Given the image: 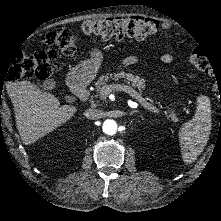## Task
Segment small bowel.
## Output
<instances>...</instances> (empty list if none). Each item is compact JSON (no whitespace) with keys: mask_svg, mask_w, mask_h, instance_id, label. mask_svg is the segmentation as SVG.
<instances>
[{"mask_svg":"<svg viewBox=\"0 0 221 221\" xmlns=\"http://www.w3.org/2000/svg\"><path fill=\"white\" fill-rule=\"evenodd\" d=\"M156 25V24H155ZM167 27L156 25L155 30L149 34H145L141 36V40L147 45H156L162 51V61L164 63L173 64L178 67L179 70H182L178 58L176 54L172 50V45L168 39L167 35ZM149 55H129L120 58V63L123 66H136L140 70H144L148 73H152L149 65H148ZM131 78L132 75H129ZM159 81L165 85H172L176 82L175 79L167 78V77H160Z\"/></svg>","mask_w":221,"mask_h":221,"instance_id":"1","label":"small bowel"}]
</instances>
